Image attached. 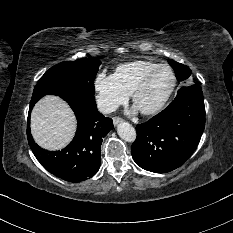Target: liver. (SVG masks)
Instances as JSON below:
<instances>
[{
  "label": "liver",
  "instance_id": "obj_1",
  "mask_svg": "<svg viewBox=\"0 0 233 233\" xmlns=\"http://www.w3.org/2000/svg\"><path fill=\"white\" fill-rule=\"evenodd\" d=\"M76 119L69 105L58 96L40 99L31 113V133L36 143L47 150H60L73 138Z\"/></svg>",
  "mask_w": 233,
  "mask_h": 233
}]
</instances>
